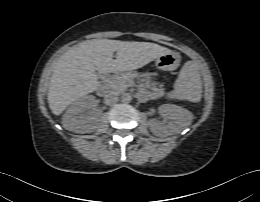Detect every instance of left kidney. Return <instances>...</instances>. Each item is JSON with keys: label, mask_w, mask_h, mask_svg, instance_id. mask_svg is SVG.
<instances>
[{"label": "left kidney", "mask_w": 260, "mask_h": 202, "mask_svg": "<svg viewBox=\"0 0 260 202\" xmlns=\"http://www.w3.org/2000/svg\"><path fill=\"white\" fill-rule=\"evenodd\" d=\"M159 113L169 122L165 124L156 119H150L148 125L151 132L160 137L180 133L192 120L190 111L174 104L161 105Z\"/></svg>", "instance_id": "5707ae66"}]
</instances>
